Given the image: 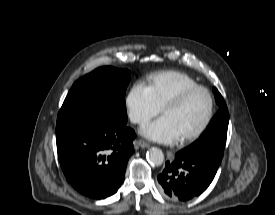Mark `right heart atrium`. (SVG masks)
I'll use <instances>...</instances> for the list:
<instances>
[{"mask_svg":"<svg viewBox=\"0 0 275 215\" xmlns=\"http://www.w3.org/2000/svg\"><path fill=\"white\" fill-rule=\"evenodd\" d=\"M126 107L130 120L137 125H144L160 113L145 85L134 84L126 97Z\"/></svg>","mask_w":275,"mask_h":215,"instance_id":"1","label":"right heart atrium"}]
</instances>
